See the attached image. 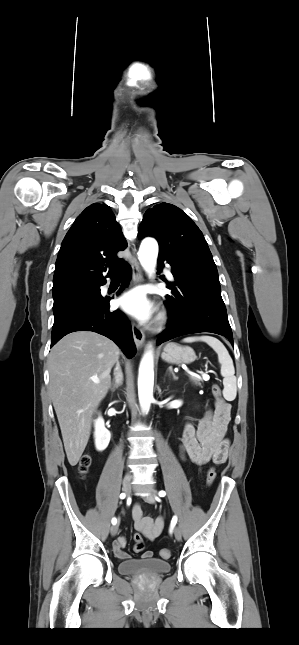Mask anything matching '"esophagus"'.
<instances>
[{
    "instance_id": "esophagus-1",
    "label": "esophagus",
    "mask_w": 299,
    "mask_h": 645,
    "mask_svg": "<svg viewBox=\"0 0 299 645\" xmlns=\"http://www.w3.org/2000/svg\"><path fill=\"white\" fill-rule=\"evenodd\" d=\"M131 267H132V277H133L134 283L135 284L141 283L143 281V273H142L140 264L135 256V250L133 251ZM132 332H133V338L136 346L138 348H141L145 343L144 332L135 323L132 324Z\"/></svg>"
}]
</instances>
